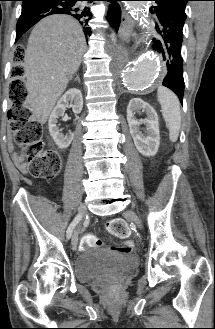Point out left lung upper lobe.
I'll use <instances>...</instances> for the list:
<instances>
[{
	"instance_id": "obj_1",
	"label": "left lung upper lobe",
	"mask_w": 215,
	"mask_h": 329,
	"mask_svg": "<svg viewBox=\"0 0 215 329\" xmlns=\"http://www.w3.org/2000/svg\"><path fill=\"white\" fill-rule=\"evenodd\" d=\"M190 0H155L157 4H161L177 13L183 19H186L185 7Z\"/></svg>"
}]
</instances>
